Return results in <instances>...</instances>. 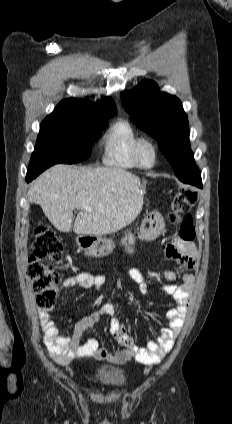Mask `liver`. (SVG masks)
<instances>
[{"label": "liver", "mask_w": 232, "mask_h": 424, "mask_svg": "<svg viewBox=\"0 0 232 424\" xmlns=\"http://www.w3.org/2000/svg\"><path fill=\"white\" fill-rule=\"evenodd\" d=\"M140 178L117 167H74L57 164L41 174L29 190V201L61 232H69L73 209L77 215L73 231L79 235L114 233L136 219L142 210ZM88 205L93 210L86 211Z\"/></svg>", "instance_id": "6515ba94"}]
</instances>
